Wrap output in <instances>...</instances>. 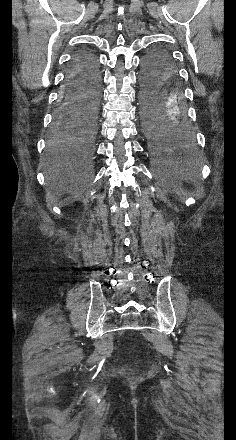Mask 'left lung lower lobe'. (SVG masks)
Segmentation results:
<instances>
[{"label":"left lung lower lobe","instance_id":"obj_1","mask_svg":"<svg viewBox=\"0 0 236 440\" xmlns=\"http://www.w3.org/2000/svg\"><path fill=\"white\" fill-rule=\"evenodd\" d=\"M142 130L154 148L191 139L184 91L178 70L165 52L151 64L143 63L141 77Z\"/></svg>","mask_w":236,"mask_h":440}]
</instances>
